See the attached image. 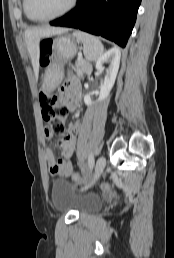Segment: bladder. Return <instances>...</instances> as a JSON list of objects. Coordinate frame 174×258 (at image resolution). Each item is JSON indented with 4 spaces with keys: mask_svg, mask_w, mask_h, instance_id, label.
<instances>
[{
    "mask_svg": "<svg viewBox=\"0 0 174 258\" xmlns=\"http://www.w3.org/2000/svg\"><path fill=\"white\" fill-rule=\"evenodd\" d=\"M54 206L62 210H74L78 214L90 213L102 206V199L95 195L78 196L74 186L67 180L55 179L51 187Z\"/></svg>",
    "mask_w": 174,
    "mask_h": 258,
    "instance_id": "1",
    "label": "bladder"
}]
</instances>
